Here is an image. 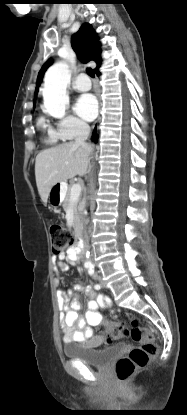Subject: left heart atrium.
<instances>
[{"instance_id": "left-heart-atrium-1", "label": "left heart atrium", "mask_w": 187, "mask_h": 415, "mask_svg": "<svg viewBox=\"0 0 187 415\" xmlns=\"http://www.w3.org/2000/svg\"><path fill=\"white\" fill-rule=\"evenodd\" d=\"M75 112L84 120H93L98 112V103L92 94L80 96L74 106Z\"/></svg>"}]
</instances>
